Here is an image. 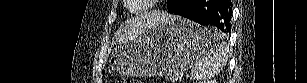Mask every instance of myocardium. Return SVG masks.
Here are the masks:
<instances>
[{
	"mask_svg": "<svg viewBox=\"0 0 307 83\" xmlns=\"http://www.w3.org/2000/svg\"><path fill=\"white\" fill-rule=\"evenodd\" d=\"M127 1L129 2V0H127ZM127 9H128L131 13H140V12H142V11L145 10V9H143V7H142V8H138V9H133V8H131L130 6L127 7Z\"/></svg>",
	"mask_w": 307,
	"mask_h": 83,
	"instance_id": "obj_1",
	"label": "myocardium"
}]
</instances>
